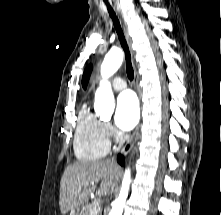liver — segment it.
<instances>
[{
  "label": "liver",
  "instance_id": "1",
  "mask_svg": "<svg viewBox=\"0 0 221 215\" xmlns=\"http://www.w3.org/2000/svg\"><path fill=\"white\" fill-rule=\"evenodd\" d=\"M119 177V166L115 162H77L68 166L60 182L59 206L62 214L79 209L87 202L100 183L98 194H110Z\"/></svg>",
  "mask_w": 221,
  "mask_h": 215
}]
</instances>
